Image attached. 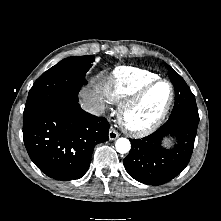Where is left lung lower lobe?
I'll list each match as a JSON object with an SVG mask.
<instances>
[{"label":"left lung lower lobe","instance_id":"0a47b994","mask_svg":"<svg viewBox=\"0 0 221 221\" xmlns=\"http://www.w3.org/2000/svg\"><path fill=\"white\" fill-rule=\"evenodd\" d=\"M175 104L168 121L143 139H130L131 150L123 160L128 174L148 185H161L176 177L189 163L199 122L185 117L195 106V97L189 88L174 85ZM173 138L174 147L162 146L164 138Z\"/></svg>","mask_w":221,"mask_h":221}]
</instances>
